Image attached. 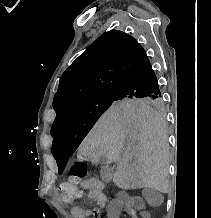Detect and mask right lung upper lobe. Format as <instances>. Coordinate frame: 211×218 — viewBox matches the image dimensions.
Instances as JSON below:
<instances>
[{"label":"right lung upper lobe","instance_id":"right-lung-upper-lobe-1","mask_svg":"<svg viewBox=\"0 0 211 218\" xmlns=\"http://www.w3.org/2000/svg\"><path fill=\"white\" fill-rule=\"evenodd\" d=\"M147 59L130 35L116 30L102 34L61 76L53 100L56 118L86 100L116 93Z\"/></svg>","mask_w":211,"mask_h":218}]
</instances>
